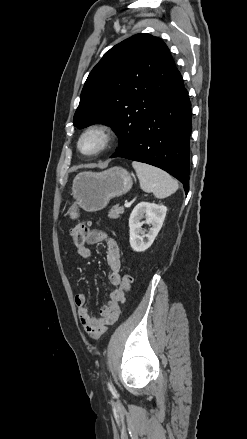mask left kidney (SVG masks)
I'll list each match as a JSON object with an SVG mask.
<instances>
[{"instance_id": "obj_1", "label": "left kidney", "mask_w": 247, "mask_h": 439, "mask_svg": "<svg viewBox=\"0 0 247 439\" xmlns=\"http://www.w3.org/2000/svg\"><path fill=\"white\" fill-rule=\"evenodd\" d=\"M166 212V206L155 203L141 202L135 206L129 218V241L134 251L143 252L153 244L163 225ZM144 217L146 220L141 222ZM144 223L151 225L147 234L142 230Z\"/></svg>"}]
</instances>
